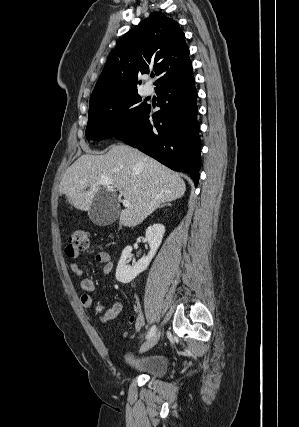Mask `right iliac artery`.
<instances>
[{
  "label": "right iliac artery",
  "mask_w": 299,
  "mask_h": 427,
  "mask_svg": "<svg viewBox=\"0 0 299 427\" xmlns=\"http://www.w3.org/2000/svg\"><path fill=\"white\" fill-rule=\"evenodd\" d=\"M155 331H156V327L152 326L148 331L146 338H150L155 333Z\"/></svg>",
  "instance_id": "1"
}]
</instances>
